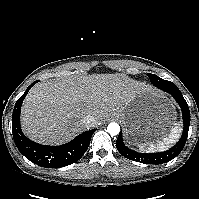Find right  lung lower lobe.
Masks as SVG:
<instances>
[{"label":"right lung lower lobe","instance_id":"obj_1","mask_svg":"<svg viewBox=\"0 0 199 199\" xmlns=\"http://www.w3.org/2000/svg\"><path fill=\"white\" fill-rule=\"evenodd\" d=\"M33 82L18 99L12 115V132L15 144L19 151L31 162L47 168H60L77 162L86 152L92 134L96 129L86 131L72 141L60 146H47L35 143L28 139L20 128V111L22 102Z\"/></svg>","mask_w":199,"mask_h":199}]
</instances>
